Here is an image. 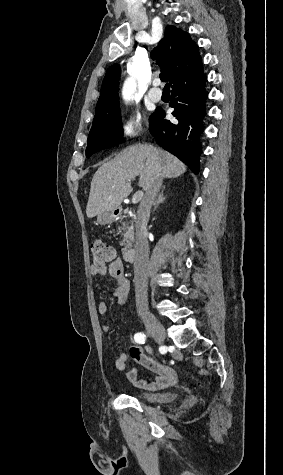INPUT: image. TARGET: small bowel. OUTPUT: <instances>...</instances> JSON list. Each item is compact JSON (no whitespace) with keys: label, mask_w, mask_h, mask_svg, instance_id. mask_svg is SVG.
<instances>
[{"label":"small bowel","mask_w":283,"mask_h":475,"mask_svg":"<svg viewBox=\"0 0 283 475\" xmlns=\"http://www.w3.org/2000/svg\"><path fill=\"white\" fill-rule=\"evenodd\" d=\"M89 274L93 277L109 275L113 280L112 296L119 305L127 303L130 294V282L124 275L123 262L119 258L113 259L109 264L92 263L88 268ZM97 311L100 316L108 313V305L101 301L97 305ZM104 332L109 331V326H102ZM146 352L149 354H146ZM131 357L136 365L126 372L127 380L135 387L146 388L149 390L164 389L177 383L178 376L176 371L156 359L151 348L144 349L142 346L132 343L129 352H121L115 359L114 365L118 371H124ZM139 367L149 370L152 375L146 378H139Z\"/></svg>","instance_id":"obj_1"}]
</instances>
